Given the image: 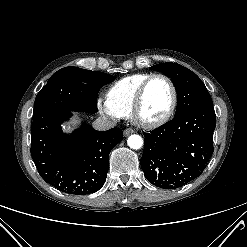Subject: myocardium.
<instances>
[{"label": "myocardium", "mask_w": 247, "mask_h": 247, "mask_svg": "<svg viewBox=\"0 0 247 247\" xmlns=\"http://www.w3.org/2000/svg\"><path fill=\"white\" fill-rule=\"evenodd\" d=\"M156 78H163L169 83L171 91H172L171 105L168 111L161 118L157 120H145L141 117V108L144 102L146 89L149 83L153 79H156ZM177 102H178V92H177V88H176L174 81L168 75L163 74V73L151 74L142 82V84L140 85L136 93L132 111H131V118L137 125L143 128H146V129H154V128L160 127L170 120V118L175 112Z\"/></svg>", "instance_id": "myocardium-1"}]
</instances>
